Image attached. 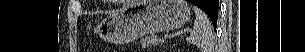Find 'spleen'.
<instances>
[{
    "instance_id": "3e777b00",
    "label": "spleen",
    "mask_w": 305,
    "mask_h": 52,
    "mask_svg": "<svg viewBox=\"0 0 305 52\" xmlns=\"http://www.w3.org/2000/svg\"><path fill=\"white\" fill-rule=\"evenodd\" d=\"M196 14L193 31L186 40L197 46L201 52H213L214 37L212 33V25L208 16L197 6H193Z\"/></svg>"
}]
</instances>
